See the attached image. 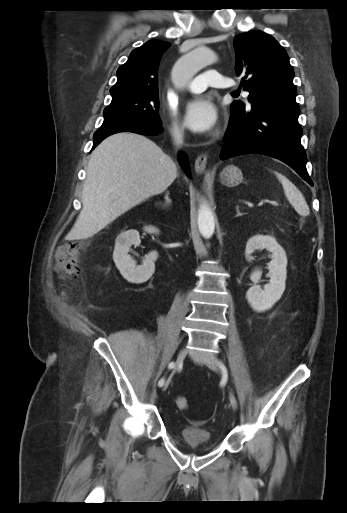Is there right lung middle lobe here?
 Masks as SVG:
<instances>
[{"label":"right lung middle lobe","mask_w":347,"mask_h":513,"mask_svg":"<svg viewBox=\"0 0 347 513\" xmlns=\"http://www.w3.org/2000/svg\"><path fill=\"white\" fill-rule=\"evenodd\" d=\"M158 92H129L113 96L111 104L104 109L102 126L120 121H140L159 125Z\"/></svg>","instance_id":"right-lung-middle-lobe-1"}]
</instances>
